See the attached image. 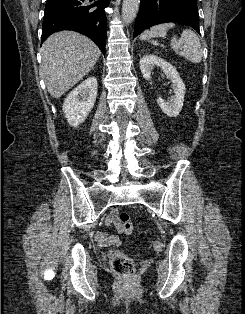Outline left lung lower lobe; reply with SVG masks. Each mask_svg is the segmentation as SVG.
Instances as JSON below:
<instances>
[{
    "mask_svg": "<svg viewBox=\"0 0 245 314\" xmlns=\"http://www.w3.org/2000/svg\"><path fill=\"white\" fill-rule=\"evenodd\" d=\"M167 22L183 23L200 33L197 3L190 0H140L133 37L150 26Z\"/></svg>",
    "mask_w": 245,
    "mask_h": 314,
    "instance_id": "1",
    "label": "left lung lower lobe"
}]
</instances>
